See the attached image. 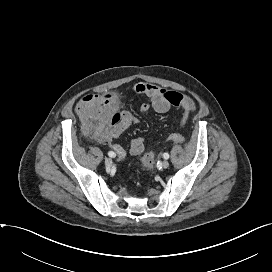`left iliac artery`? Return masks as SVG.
<instances>
[{
  "mask_svg": "<svg viewBox=\"0 0 272 272\" xmlns=\"http://www.w3.org/2000/svg\"><path fill=\"white\" fill-rule=\"evenodd\" d=\"M163 157H164V159H168L169 158V154L168 153H164Z\"/></svg>",
  "mask_w": 272,
  "mask_h": 272,
  "instance_id": "obj_1",
  "label": "left iliac artery"
}]
</instances>
